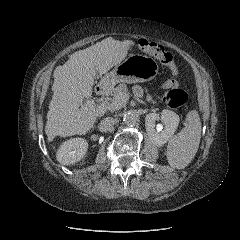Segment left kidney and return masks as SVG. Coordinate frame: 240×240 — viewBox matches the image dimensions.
I'll return each instance as SVG.
<instances>
[{"label":"left kidney","mask_w":240,"mask_h":240,"mask_svg":"<svg viewBox=\"0 0 240 240\" xmlns=\"http://www.w3.org/2000/svg\"><path fill=\"white\" fill-rule=\"evenodd\" d=\"M161 120L164 129L156 125L155 122ZM179 124V116L170 110H163L161 115L157 113H149L145 117V127L149 139L156 146H162L172 137Z\"/></svg>","instance_id":"5707ae66"}]
</instances>
